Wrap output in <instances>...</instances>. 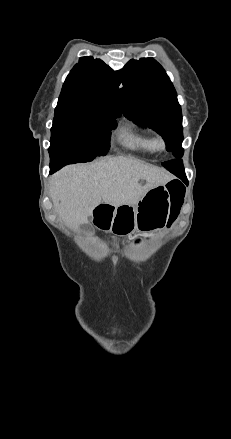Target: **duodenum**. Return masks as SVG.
Masks as SVG:
<instances>
[{"instance_id":"duodenum-1","label":"duodenum","mask_w":231,"mask_h":439,"mask_svg":"<svg viewBox=\"0 0 231 439\" xmlns=\"http://www.w3.org/2000/svg\"><path fill=\"white\" fill-rule=\"evenodd\" d=\"M98 209H99V212H100V214H99V217H105V215H106V213L109 211V205H107V204H101L99 207H98Z\"/></svg>"}]
</instances>
